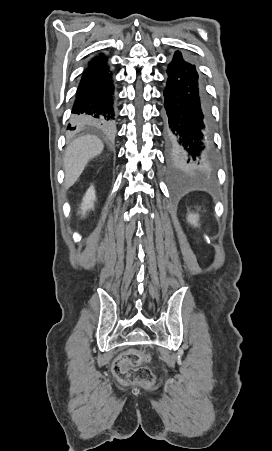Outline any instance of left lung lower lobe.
Wrapping results in <instances>:
<instances>
[{
    "mask_svg": "<svg viewBox=\"0 0 272 451\" xmlns=\"http://www.w3.org/2000/svg\"><path fill=\"white\" fill-rule=\"evenodd\" d=\"M163 91L164 140L169 162L179 167H211L207 109L196 66L176 51Z\"/></svg>",
    "mask_w": 272,
    "mask_h": 451,
    "instance_id": "left-lung-lower-lobe-1",
    "label": "left lung lower lobe"
}]
</instances>
